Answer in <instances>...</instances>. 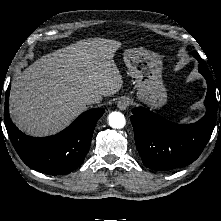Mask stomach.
<instances>
[{"label": "stomach", "mask_w": 221, "mask_h": 221, "mask_svg": "<svg viewBox=\"0 0 221 221\" xmlns=\"http://www.w3.org/2000/svg\"><path fill=\"white\" fill-rule=\"evenodd\" d=\"M129 75L135 80L136 99L152 109L167 101L162 81V61L158 54L148 50L129 49L124 53Z\"/></svg>", "instance_id": "0dacf381"}]
</instances>
